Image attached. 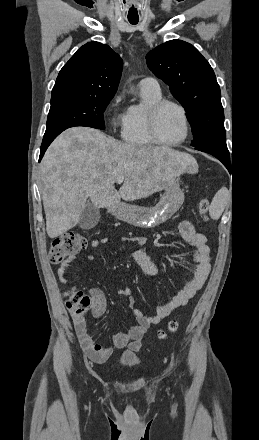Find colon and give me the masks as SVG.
Instances as JSON below:
<instances>
[{"instance_id":"5ec220e1","label":"colon","mask_w":259,"mask_h":440,"mask_svg":"<svg viewBox=\"0 0 259 440\" xmlns=\"http://www.w3.org/2000/svg\"><path fill=\"white\" fill-rule=\"evenodd\" d=\"M210 203L206 198L199 202L198 210L201 217L207 221ZM87 245L86 239L77 232H66L54 240L50 251L49 259L51 263L57 264L63 262L65 259L75 256L85 249ZM94 296H89L81 290H72L68 294L66 306L71 313L75 323L84 319L86 312L94 305ZM178 328L176 321H171L168 326V332L174 333ZM168 332H160V338L166 339Z\"/></svg>"}]
</instances>
